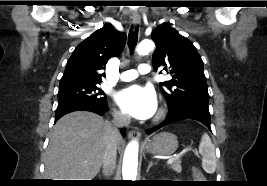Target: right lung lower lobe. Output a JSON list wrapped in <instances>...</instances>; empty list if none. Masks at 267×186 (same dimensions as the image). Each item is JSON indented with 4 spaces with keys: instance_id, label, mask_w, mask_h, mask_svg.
<instances>
[{
    "instance_id": "1",
    "label": "right lung lower lobe",
    "mask_w": 267,
    "mask_h": 186,
    "mask_svg": "<svg viewBox=\"0 0 267 186\" xmlns=\"http://www.w3.org/2000/svg\"><path fill=\"white\" fill-rule=\"evenodd\" d=\"M107 110V103H100L82 99L61 101L58 103V107L56 109L55 122L59 120L62 116L74 111H90L102 115ZM121 132L123 135H125L124 129H122Z\"/></svg>"
}]
</instances>
